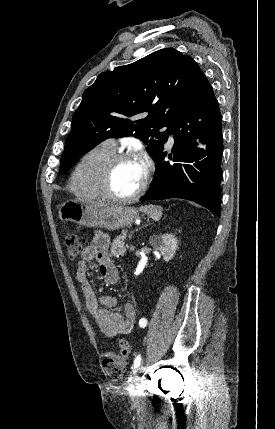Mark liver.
<instances>
[{
  "instance_id": "obj_1",
  "label": "liver",
  "mask_w": 275,
  "mask_h": 429,
  "mask_svg": "<svg viewBox=\"0 0 275 429\" xmlns=\"http://www.w3.org/2000/svg\"><path fill=\"white\" fill-rule=\"evenodd\" d=\"M90 206H91V207H94V208H103V207H107V205H106V204H100V203H96V202L91 203V204H90Z\"/></svg>"
}]
</instances>
